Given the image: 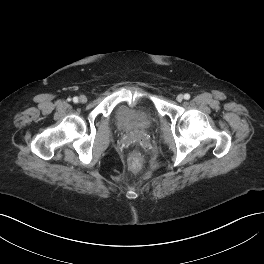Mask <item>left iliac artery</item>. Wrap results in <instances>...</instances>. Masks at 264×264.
Listing matches in <instances>:
<instances>
[{"instance_id": "44dca946", "label": "left iliac artery", "mask_w": 264, "mask_h": 264, "mask_svg": "<svg viewBox=\"0 0 264 264\" xmlns=\"http://www.w3.org/2000/svg\"><path fill=\"white\" fill-rule=\"evenodd\" d=\"M184 98H185L186 100L190 99V94L186 93V94L184 95Z\"/></svg>"}]
</instances>
